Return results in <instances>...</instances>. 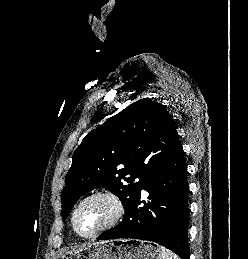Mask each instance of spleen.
<instances>
[{
  "label": "spleen",
  "mask_w": 248,
  "mask_h": 259,
  "mask_svg": "<svg viewBox=\"0 0 248 259\" xmlns=\"http://www.w3.org/2000/svg\"><path fill=\"white\" fill-rule=\"evenodd\" d=\"M162 259H180L176 254L168 250L167 248L161 247Z\"/></svg>",
  "instance_id": "obj_1"
}]
</instances>
